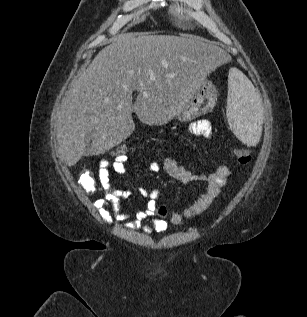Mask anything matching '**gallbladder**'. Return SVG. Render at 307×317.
I'll list each match as a JSON object with an SVG mask.
<instances>
[{"mask_svg": "<svg viewBox=\"0 0 307 317\" xmlns=\"http://www.w3.org/2000/svg\"><path fill=\"white\" fill-rule=\"evenodd\" d=\"M86 139H87V146H86V149H85V152H84V156L87 157V156H90L91 152H92V142L95 139V132L94 131H90L87 134Z\"/></svg>", "mask_w": 307, "mask_h": 317, "instance_id": "gallbladder-1", "label": "gallbladder"}]
</instances>
